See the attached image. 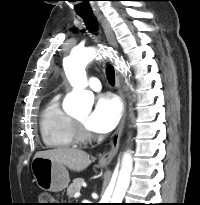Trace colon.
Masks as SVG:
<instances>
[{
	"label": "colon",
	"mask_w": 200,
	"mask_h": 205,
	"mask_svg": "<svg viewBox=\"0 0 200 205\" xmlns=\"http://www.w3.org/2000/svg\"><path fill=\"white\" fill-rule=\"evenodd\" d=\"M38 205H54L52 196L49 193H41L38 197Z\"/></svg>",
	"instance_id": "5ec220e1"
}]
</instances>
